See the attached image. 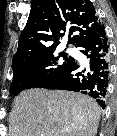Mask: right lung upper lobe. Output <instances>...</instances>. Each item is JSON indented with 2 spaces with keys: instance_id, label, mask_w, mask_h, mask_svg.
Wrapping results in <instances>:
<instances>
[{
  "instance_id": "cb5924a9",
  "label": "right lung upper lobe",
  "mask_w": 117,
  "mask_h": 136,
  "mask_svg": "<svg viewBox=\"0 0 117 136\" xmlns=\"http://www.w3.org/2000/svg\"><path fill=\"white\" fill-rule=\"evenodd\" d=\"M101 26L93 5L87 0H32L12 68L53 55L59 40L69 32L68 44L77 47Z\"/></svg>"
}]
</instances>
